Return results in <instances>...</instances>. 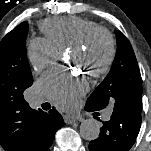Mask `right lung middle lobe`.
I'll return each instance as SVG.
<instances>
[{
    "instance_id": "1",
    "label": "right lung middle lobe",
    "mask_w": 151,
    "mask_h": 151,
    "mask_svg": "<svg viewBox=\"0 0 151 151\" xmlns=\"http://www.w3.org/2000/svg\"><path fill=\"white\" fill-rule=\"evenodd\" d=\"M28 23L19 24L0 42V97L24 98L32 83V73L26 55Z\"/></svg>"
}]
</instances>
